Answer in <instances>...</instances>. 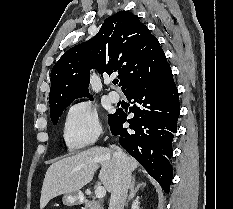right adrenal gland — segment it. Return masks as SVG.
Listing matches in <instances>:
<instances>
[{
	"instance_id": "1",
	"label": "right adrenal gland",
	"mask_w": 233,
	"mask_h": 209,
	"mask_svg": "<svg viewBox=\"0 0 233 209\" xmlns=\"http://www.w3.org/2000/svg\"><path fill=\"white\" fill-rule=\"evenodd\" d=\"M144 185H145V183H140L135 187V175L133 176L132 183L130 186V192H129V195L127 197L126 203H125L126 206L128 205L129 201L135 196V194L137 193L139 188L144 186Z\"/></svg>"
}]
</instances>
